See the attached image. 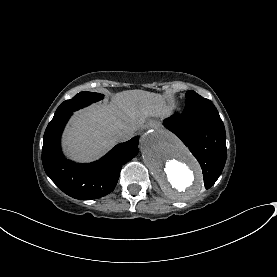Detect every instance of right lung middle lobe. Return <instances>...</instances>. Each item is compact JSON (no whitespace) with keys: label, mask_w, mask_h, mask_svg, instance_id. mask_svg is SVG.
Listing matches in <instances>:
<instances>
[{"label":"right lung middle lobe","mask_w":277,"mask_h":277,"mask_svg":"<svg viewBox=\"0 0 277 277\" xmlns=\"http://www.w3.org/2000/svg\"><path fill=\"white\" fill-rule=\"evenodd\" d=\"M103 95L93 92H80L70 100L64 101L56 110L52 120L57 119L67 113L74 112L80 108L90 105L93 102L103 99Z\"/></svg>","instance_id":"1"}]
</instances>
